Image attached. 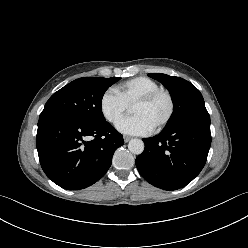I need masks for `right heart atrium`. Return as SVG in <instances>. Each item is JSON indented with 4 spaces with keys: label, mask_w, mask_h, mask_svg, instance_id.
<instances>
[{
    "label": "right heart atrium",
    "mask_w": 248,
    "mask_h": 248,
    "mask_svg": "<svg viewBox=\"0 0 248 248\" xmlns=\"http://www.w3.org/2000/svg\"><path fill=\"white\" fill-rule=\"evenodd\" d=\"M128 107L113 89L104 91L100 98L101 114L111 124H117L127 112Z\"/></svg>",
    "instance_id": "right-heart-atrium-1"
}]
</instances>
